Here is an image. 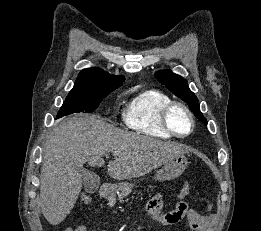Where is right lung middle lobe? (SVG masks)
I'll return each mask as SVG.
<instances>
[{"label": "right lung middle lobe", "instance_id": "obj_1", "mask_svg": "<svg viewBox=\"0 0 261 231\" xmlns=\"http://www.w3.org/2000/svg\"><path fill=\"white\" fill-rule=\"evenodd\" d=\"M96 93V94H77L69 93L64 101L57 118L76 113V112H93L97 109L101 101L109 94Z\"/></svg>", "mask_w": 261, "mask_h": 231}]
</instances>
